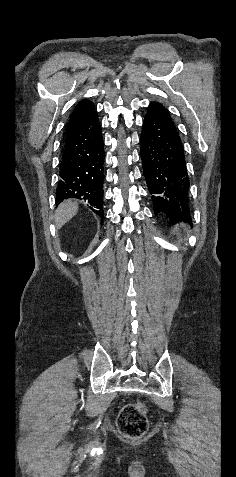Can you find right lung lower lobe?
I'll return each instance as SVG.
<instances>
[{
    "label": "right lung lower lobe",
    "instance_id": "1",
    "mask_svg": "<svg viewBox=\"0 0 236 477\" xmlns=\"http://www.w3.org/2000/svg\"><path fill=\"white\" fill-rule=\"evenodd\" d=\"M104 157L101 126L95 111L81 127L66 135L56 205L68 198L85 200L103 220Z\"/></svg>",
    "mask_w": 236,
    "mask_h": 477
}]
</instances>
